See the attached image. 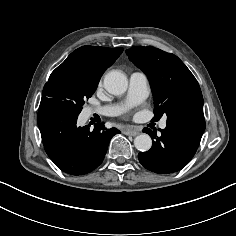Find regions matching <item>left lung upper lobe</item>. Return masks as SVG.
I'll return each mask as SVG.
<instances>
[{"mask_svg":"<svg viewBox=\"0 0 236 236\" xmlns=\"http://www.w3.org/2000/svg\"><path fill=\"white\" fill-rule=\"evenodd\" d=\"M129 59L149 78L154 98L155 119L188 109L203 111L199 84L174 54L154 47L136 46L126 51Z\"/></svg>","mask_w":236,"mask_h":236,"instance_id":"5c2ea615","label":"left lung upper lobe"}]
</instances>
